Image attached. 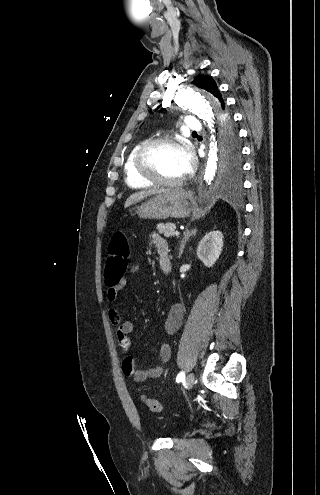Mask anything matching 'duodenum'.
Returning <instances> with one entry per match:
<instances>
[{"label": "duodenum", "mask_w": 320, "mask_h": 495, "mask_svg": "<svg viewBox=\"0 0 320 495\" xmlns=\"http://www.w3.org/2000/svg\"><path fill=\"white\" fill-rule=\"evenodd\" d=\"M160 267L164 274H169L172 270V262L168 248H165L160 252Z\"/></svg>", "instance_id": "1"}]
</instances>
